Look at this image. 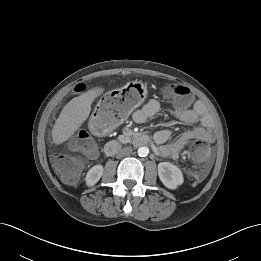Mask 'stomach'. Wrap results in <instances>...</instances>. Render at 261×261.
Returning a JSON list of instances; mask_svg holds the SVG:
<instances>
[{"label":"stomach","instance_id":"0dacf381","mask_svg":"<svg viewBox=\"0 0 261 261\" xmlns=\"http://www.w3.org/2000/svg\"><path fill=\"white\" fill-rule=\"evenodd\" d=\"M120 96L127 102L129 114L145 100L147 88L140 81H132L120 90ZM119 123H104L98 115L93 114L89 121V128L94 135L103 136L112 131Z\"/></svg>","mask_w":261,"mask_h":261}]
</instances>
